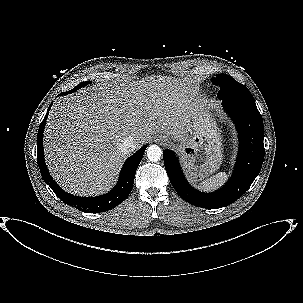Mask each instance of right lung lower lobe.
<instances>
[{"label": "right lung lower lobe", "mask_w": 303, "mask_h": 303, "mask_svg": "<svg viewBox=\"0 0 303 303\" xmlns=\"http://www.w3.org/2000/svg\"><path fill=\"white\" fill-rule=\"evenodd\" d=\"M63 94L66 95L68 93H61L60 95ZM51 105L52 104H50L48 111L39 126L37 134V161L44 181L51 187V189L63 202L82 211L99 213L115 208L117 205L123 202L130 194L133 187L137 167L142 160L143 154L147 146H143L134 155L126 159L120 172L119 181L109 193L89 198L71 195L62 190L58 186V184L52 179L44 160L43 132Z\"/></svg>", "instance_id": "98d812e1"}]
</instances>
